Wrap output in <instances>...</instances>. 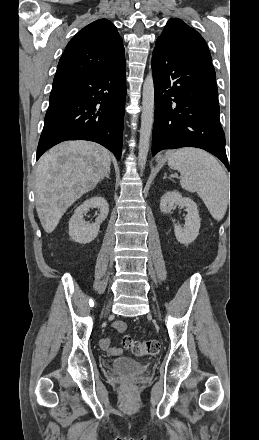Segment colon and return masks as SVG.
Masks as SVG:
<instances>
[{
  "mask_svg": "<svg viewBox=\"0 0 259 440\" xmlns=\"http://www.w3.org/2000/svg\"><path fill=\"white\" fill-rule=\"evenodd\" d=\"M124 346L129 349L135 356H148L156 355L159 352L160 345L157 340L149 339L144 341L133 340L128 336L123 338ZM123 388L129 390L131 385L129 383H124Z\"/></svg>",
  "mask_w": 259,
  "mask_h": 440,
  "instance_id": "1",
  "label": "colon"
}]
</instances>
